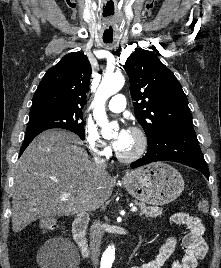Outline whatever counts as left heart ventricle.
I'll list each match as a JSON object with an SVG mask.
<instances>
[{"label": "left heart ventricle", "instance_id": "left-heart-ventricle-1", "mask_svg": "<svg viewBox=\"0 0 221 268\" xmlns=\"http://www.w3.org/2000/svg\"><path fill=\"white\" fill-rule=\"evenodd\" d=\"M139 139L138 137L130 131L129 137L127 139L124 147L119 151L122 155H131L138 149Z\"/></svg>", "mask_w": 221, "mask_h": 268}]
</instances>
